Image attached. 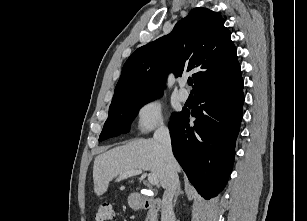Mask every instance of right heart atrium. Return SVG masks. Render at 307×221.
Segmentation results:
<instances>
[{"label": "right heart atrium", "instance_id": "right-heart-atrium-1", "mask_svg": "<svg viewBox=\"0 0 307 221\" xmlns=\"http://www.w3.org/2000/svg\"><path fill=\"white\" fill-rule=\"evenodd\" d=\"M137 127L142 133L149 132L163 124L162 103L152 99L144 103L138 110Z\"/></svg>", "mask_w": 307, "mask_h": 221}]
</instances>
